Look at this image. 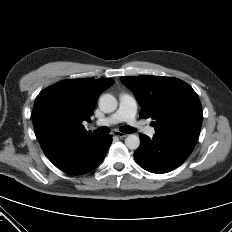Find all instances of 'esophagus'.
<instances>
[{"mask_svg": "<svg viewBox=\"0 0 232 232\" xmlns=\"http://www.w3.org/2000/svg\"><path fill=\"white\" fill-rule=\"evenodd\" d=\"M113 135H115V136H117L119 138H125L127 136V134H124V133H122L121 131H118V130H115L113 132Z\"/></svg>", "mask_w": 232, "mask_h": 232, "instance_id": "1", "label": "esophagus"}]
</instances>
